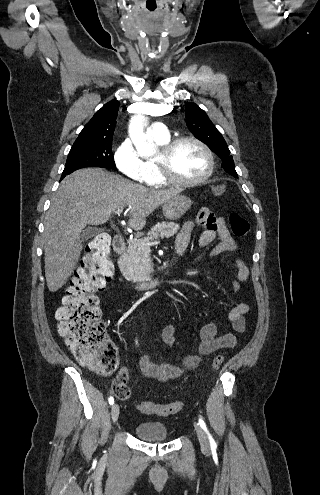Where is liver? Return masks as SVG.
Returning <instances> with one entry per match:
<instances>
[{
    "label": "liver",
    "mask_w": 320,
    "mask_h": 495,
    "mask_svg": "<svg viewBox=\"0 0 320 495\" xmlns=\"http://www.w3.org/2000/svg\"><path fill=\"white\" fill-rule=\"evenodd\" d=\"M178 190H152L99 168L65 177L45 216L44 262L49 291L56 292L72 274L82 250L80 234L87 224L102 225L118 209H129V226L144 228L146 217Z\"/></svg>",
    "instance_id": "liver-1"
}]
</instances>
